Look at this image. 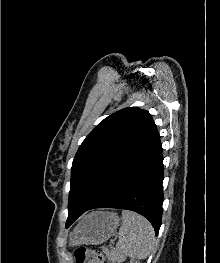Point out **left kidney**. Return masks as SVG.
Wrapping results in <instances>:
<instances>
[{"mask_svg": "<svg viewBox=\"0 0 220 263\" xmlns=\"http://www.w3.org/2000/svg\"><path fill=\"white\" fill-rule=\"evenodd\" d=\"M130 263H140V262H137V261H136V262L130 261Z\"/></svg>", "mask_w": 220, "mask_h": 263, "instance_id": "left-kidney-1", "label": "left kidney"}]
</instances>
